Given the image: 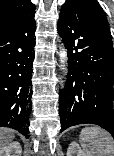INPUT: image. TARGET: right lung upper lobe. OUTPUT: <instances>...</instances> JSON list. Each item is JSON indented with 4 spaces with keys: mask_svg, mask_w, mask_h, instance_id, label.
<instances>
[{
    "mask_svg": "<svg viewBox=\"0 0 114 156\" xmlns=\"http://www.w3.org/2000/svg\"><path fill=\"white\" fill-rule=\"evenodd\" d=\"M35 11L29 0H0V28Z\"/></svg>",
    "mask_w": 114,
    "mask_h": 156,
    "instance_id": "cb5924a9",
    "label": "right lung upper lobe"
}]
</instances>
